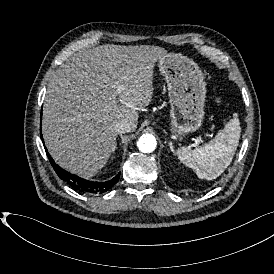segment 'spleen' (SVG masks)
<instances>
[{"label":"spleen","mask_w":274,"mask_h":274,"mask_svg":"<svg viewBox=\"0 0 274 274\" xmlns=\"http://www.w3.org/2000/svg\"><path fill=\"white\" fill-rule=\"evenodd\" d=\"M240 135L239 120L230 119L213 139L194 150L180 148L176 155L193 169L199 179L213 180L224 172L236 151Z\"/></svg>","instance_id":"spleen-1"}]
</instances>
